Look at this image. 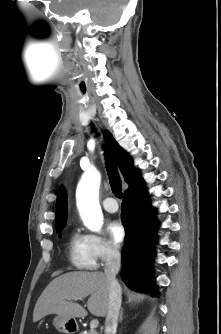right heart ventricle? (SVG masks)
Masks as SVG:
<instances>
[{
	"mask_svg": "<svg viewBox=\"0 0 221 334\" xmlns=\"http://www.w3.org/2000/svg\"><path fill=\"white\" fill-rule=\"evenodd\" d=\"M68 257L70 263L80 270H93L97 266V260L91 247L89 235H84L73 230L67 242Z\"/></svg>",
	"mask_w": 221,
	"mask_h": 334,
	"instance_id": "obj_1",
	"label": "right heart ventricle"
}]
</instances>
